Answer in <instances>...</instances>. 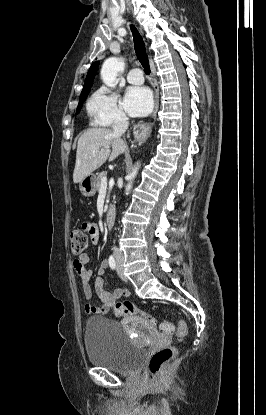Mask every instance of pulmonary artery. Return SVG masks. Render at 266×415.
I'll return each mask as SVG.
<instances>
[{"label":"pulmonary artery","mask_w":266,"mask_h":415,"mask_svg":"<svg viewBox=\"0 0 266 415\" xmlns=\"http://www.w3.org/2000/svg\"><path fill=\"white\" fill-rule=\"evenodd\" d=\"M127 80L129 83L134 85H140L143 83V73L139 68L131 69L127 74Z\"/></svg>","instance_id":"pulmonary-artery-1"}]
</instances>
